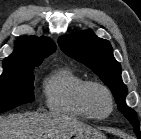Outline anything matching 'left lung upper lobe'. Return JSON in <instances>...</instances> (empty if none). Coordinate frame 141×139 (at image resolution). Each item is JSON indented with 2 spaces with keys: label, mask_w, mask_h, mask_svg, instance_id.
I'll return each instance as SVG.
<instances>
[{
  "label": "left lung upper lobe",
  "mask_w": 141,
  "mask_h": 139,
  "mask_svg": "<svg viewBox=\"0 0 141 139\" xmlns=\"http://www.w3.org/2000/svg\"><path fill=\"white\" fill-rule=\"evenodd\" d=\"M58 43L66 55L85 64L110 88L119 110L132 124L137 137H141L136 113L125 102L127 88L121 78V66L113 57L110 42L87 30L61 36Z\"/></svg>",
  "instance_id": "1"
}]
</instances>
